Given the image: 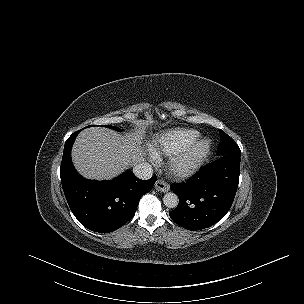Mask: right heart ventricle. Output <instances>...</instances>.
I'll return each instance as SVG.
<instances>
[{"mask_svg": "<svg viewBox=\"0 0 304 304\" xmlns=\"http://www.w3.org/2000/svg\"><path fill=\"white\" fill-rule=\"evenodd\" d=\"M200 137L196 130L174 129L161 133L152 143V151L156 155L176 156L186 150Z\"/></svg>", "mask_w": 304, "mask_h": 304, "instance_id": "right-heart-ventricle-1", "label": "right heart ventricle"}]
</instances>
